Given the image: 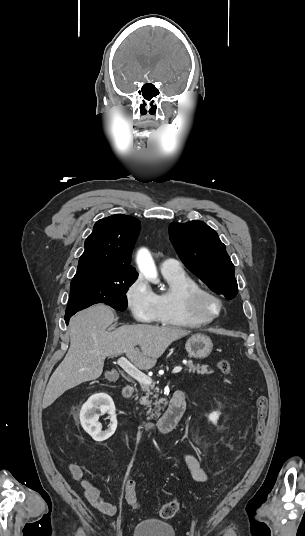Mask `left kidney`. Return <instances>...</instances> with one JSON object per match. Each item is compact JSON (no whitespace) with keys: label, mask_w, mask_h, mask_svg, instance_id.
Segmentation results:
<instances>
[{"label":"left kidney","mask_w":305,"mask_h":536,"mask_svg":"<svg viewBox=\"0 0 305 536\" xmlns=\"http://www.w3.org/2000/svg\"><path fill=\"white\" fill-rule=\"evenodd\" d=\"M219 416H220L219 412H212V414H209L208 418L210 422H213V424H217V420Z\"/></svg>","instance_id":"obj_1"}]
</instances>
